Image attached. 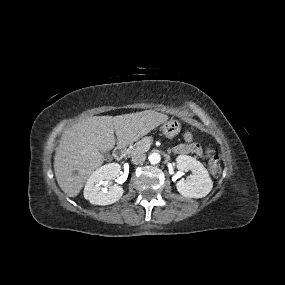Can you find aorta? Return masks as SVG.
Segmentation results:
<instances>
[{"label":"aorta","mask_w":285,"mask_h":285,"mask_svg":"<svg viewBox=\"0 0 285 285\" xmlns=\"http://www.w3.org/2000/svg\"><path fill=\"white\" fill-rule=\"evenodd\" d=\"M148 159L151 164H158L161 160V156L159 153L154 152L149 155Z\"/></svg>","instance_id":"762f6f07"}]
</instances>
